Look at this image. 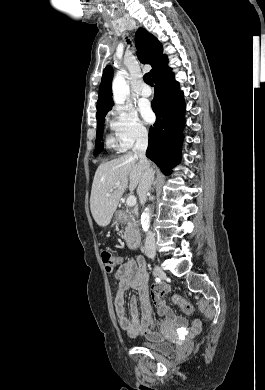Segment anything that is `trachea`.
Wrapping results in <instances>:
<instances>
[{
  "label": "trachea",
  "instance_id": "1",
  "mask_svg": "<svg viewBox=\"0 0 265 390\" xmlns=\"http://www.w3.org/2000/svg\"><path fill=\"white\" fill-rule=\"evenodd\" d=\"M130 43V42H129ZM144 81L150 85V86H153V80L151 78V75L149 73L145 74L144 75Z\"/></svg>",
  "mask_w": 265,
  "mask_h": 390
}]
</instances>
